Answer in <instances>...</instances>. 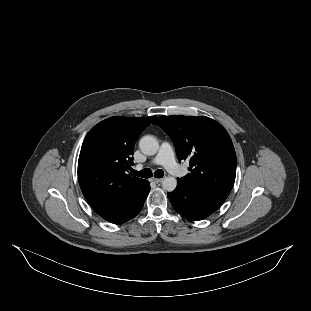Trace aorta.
<instances>
[{
  "instance_id": "762f6f07",
  "label": "aorta",
  "mask_w": 311,
  "mask_h": 311,
  "mask_svg": "<svg viewBox=\"0 0 311 311\" xmlns=\"http://www.w3.org/2000/svg\"><path fill=\"white\" fill-rule=\"evenodd\" d=\"M139 148L145 155L152 156L158 152L159 143L153 135H145L139 141ZM177 180L174 177H166L162 180V188L168 192L175 190Z\"/></svg>"
}]
</instances>
